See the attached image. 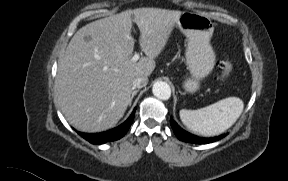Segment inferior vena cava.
I'll use <instances>...</instances> for the list:
<instances>
[{
    "mask_svg": "<svg viewBox=\"0 0 288 181\" xmlns=\"http://www.w3.org/2000/svg\"><path fill=\"white\" fill-rule=\"evenodd\" d=\"M148 83V78L147 77H136L134 78L132 82V89H140L144 86H146Z\"/></svg>",
    "mask_w": 288,
    "mask_h": 181,
    "instance_id": "obj_1",
    "label": "inferior vena cava"
}]
</instances>
